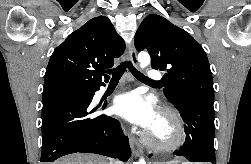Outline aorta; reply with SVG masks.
Returning a JSON list of instances; mask_svg holds the SVG:
<instances>
[{
  "instance_id": "1",
  "label": "aorta",
  "mask_w": 251,
  "mask_h": 164,
  "mask_svg": "<svg viewBox=\"0 0 251 164\" xmlns=\"http://www.w3.org/2000/svg\"><path fill=\"white\" fill-rule=\"evenodd\" d=\"M138 62L140 63L141 68H145L150 63V56L146 52H141L138 55ZM134 164H146L144 158H140L137 162Z\"/></svg>"
}]
</instances>
